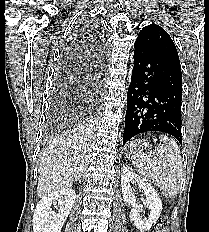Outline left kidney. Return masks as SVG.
I'll return each mask as SVG.
<instances>
[{
	"label": "left kidney",
	"instance_id": "5707ae66",
	"mask_svg": "<svg viewBox=\"0 0 209 232\" xmlns=\"http://www.w3.org/2000/svg\"><path fill=\"white\" fill-rule=\"evenodd\" d=\"M132 184L137 185L140 190L144 191L145 198L142 199V202L150 210L148 218L140 215L142 209L137 204ZM121 187L124 203L131 205L130 220L141 232L149 230L162 211V201L157 191L145 178L134 173L128 165H123L121 168Z\"/></svg>",
	"mask_w": 209,
	"mask_h": 232
}]
</instances>
